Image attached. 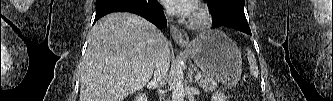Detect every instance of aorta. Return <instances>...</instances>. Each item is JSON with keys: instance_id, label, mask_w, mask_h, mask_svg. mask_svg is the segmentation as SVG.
Listing matches in <instances>:
<instances>
[{"instance_id": "1", "label": "aorta", "mask_w": 333, "mask_h": 101, "mask_svg": "<svg viewBox=\"0 0 333 101\" xmlns=\"http://www.w3.org/2000/svg\"><path fill=\"white\" fill-rule=\"evenodd\" d=\"M183 61L180 57L176 59V72L172 83V101H184L185 90L183 83Z\"/></svg>"}]
</instances>
